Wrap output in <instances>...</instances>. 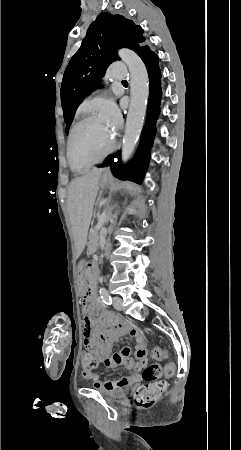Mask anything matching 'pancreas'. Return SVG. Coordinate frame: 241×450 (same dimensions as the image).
Wrapping results in <instances>:
<instances>
[{
  "label": "pancreas",
  "mask_w": 241,
  "mask_h": 450,
  "mask_svg": "<svg viewBox=\"0 0 241 450\" xmlns=\"http://www.w3.org/2000/svg\"><path fill=\"white\" fill-rule=\"evenodd\" d=\"M97 232H99V231H96V227H93V232H92L91 236L89 237L88 246H90L89 248L92 251L95 250V248H96L95 246L97 245V242L99 241V238L97 237V235H98Z\"/></svg>",
  "instance_id": "1"
}]
</instances>
